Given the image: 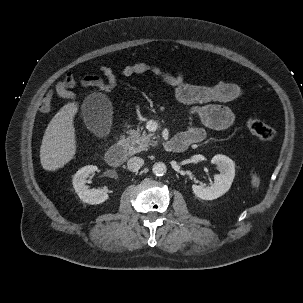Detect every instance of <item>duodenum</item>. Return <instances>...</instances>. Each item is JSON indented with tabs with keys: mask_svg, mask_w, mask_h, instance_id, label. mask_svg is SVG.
<instances>
[{
	"mask_svg": "<svg viewBox=\"0 0 303 303\" xmlns=\"http://www.w3.org/2000/svg\"><path fill=\"white\" fill-rule=\"evenodd\" d=\"M191 145L190 141L182 136L177 135L165 142L164 148L169 152L179 153L186 150ZM126 157V148L123 143L112 145L105 154L106 162L110 166H119L123 163Z\"/></svg>",
	"mask_w": 303,
	"mask_h": 303,
	"instance_id": "duodenum-1",
	"label": "duodenum"
}]
</instances>
